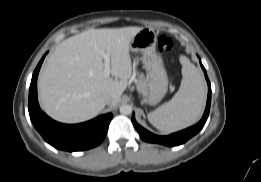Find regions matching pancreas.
<instances>
[{
  "label": "pancreas",
  "instance_id": "cf45deb5",
  "mask_svg": "<svg viewBox=\"0 0 261 182\" xmlns=\"http://www.w3.org/2000/svg\"><path fill=\"white\" fill-rule=\"evenodd\" d=\"M134 82L138 91L143 92L145 90L146 81L143 74L138 75V77L134 79Z\"/></svg>",
  "mask_w": 261,
  "mask_h": 182
}]
</instances>
